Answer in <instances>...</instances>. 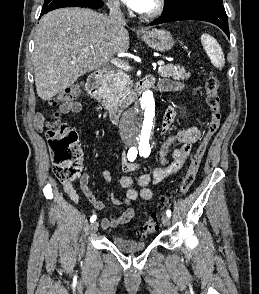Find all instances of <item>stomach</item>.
<instances>
[{
    "label": "stomach",
    "mask_w": 259,
    "mask_h": 294,
    "mask_svg": "<svg viewBox=\"0 0 259 294\" xmlns=\"http://www.w3.org/2000/svg\"><path fill=\"white\" fill-rule=\"evenodd\" d=\"M143 41L157 52H167L174 46V39L170 32L163 29H153L142 33Z\"/></svg>",
    "instance_id": "obj_1"
}]
</instances>
